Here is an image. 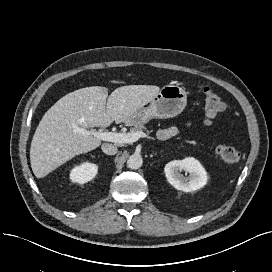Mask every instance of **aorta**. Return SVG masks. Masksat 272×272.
<instances>
[{
    "label": "aorta",
    "instance_id": "762f6f07",
    "mask_svg": "<svg viewBox=\"0 0 272 272\" xmlns=\"http://www.w3.org/2000/svg\"><path fill=\"white\" fill-rule=\"evenodd\" d=\"M143 159L139 154L131 155L127 160V166L130 169H138L142 166Z\"/></svg>",
    "mask_w": 272,
    "mask_h": 272
}]
</instances>
